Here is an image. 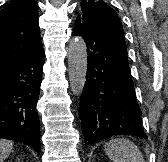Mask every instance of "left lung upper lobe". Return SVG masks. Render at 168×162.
<instances>
[{
	"mask_svg": "<svg viewBox=\"0 0 168 162\" xmlns=\"http://www.w3.org/2000/svg\"><path fill=\"white\" fill-rule=\"evenodd\" d=\"M76 21L90 24L98 31L126 47L123 27L117 13L102 0H84Z\"/></svg>",
	"mask_w": 168,
	"mask_h": 162,
	"instance_id": "left-lung-upper-lobe-1",
	"label": "left lung upper lobe"
}]
</instances>
